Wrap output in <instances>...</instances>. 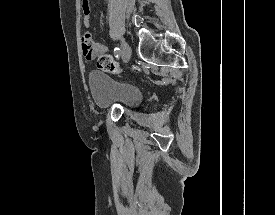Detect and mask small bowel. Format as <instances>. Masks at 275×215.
I'll return each mask as SVG.
<instances>
[{
  "mask_svg": "<svg viewBox=\"0 0 275 215\" xmlns=\"http://www.w3.org/2000/svg\"><path fill=\"white\" fill-rule=\"evenodd\" d=\"M92 14V9L89 1H84L82 6V15L84 20V25L89 28L90 17ZM81 50L83 57L87 61H92L98 56L104 55L108 52V47L102 45L98 42L93 41V35L91 32H85L81 37Z\"/></svg>",
  "mask_w": 275,
  "mask_h": 215,
  "instance_id": "obj_1",
  "label": "small bowel"
}]
</instances>
